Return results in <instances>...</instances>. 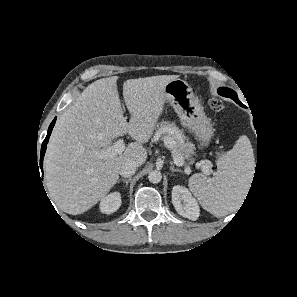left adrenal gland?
Returning a JSON list of instances; mask_svg holds the SVG:
<instances>
[{"mask_svg":"<svg viewBox=\"0 0 297 297\" xmlns=\"http://www.w3.org/2000/svg\"><path fill=\"white\" fill-rule=\"evenodd\" d=\"M170 170L171 172H181V170L174 167L173 163H171Z\"/></svg>","mask_w":297,"mask_h":297,"instance_id":"1","label":"left adrenal gland"}]
</instances>
